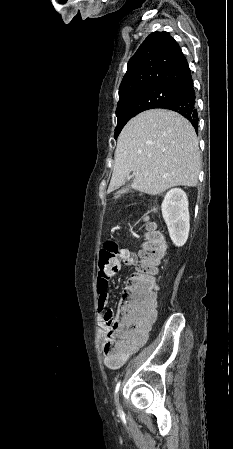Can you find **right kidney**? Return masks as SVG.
<instances>
[{
    "label": "right kidney",
    "mask_w": 233,
    "mask_h": 449,
    "mask_svg": "<svg viewBox=\"0 0 233 449\" xmlns=\"http://www.w3.org/2000/svg\"><path fill=\"white\" fill-rule=\"evenodd\" d=\"M162 216L175 246H183L190 229L188 199L186 193L174 188L167 192L162 202Z\"/></svg>",
    "instance_id": "ca27d5eb"
}]
</instances>
